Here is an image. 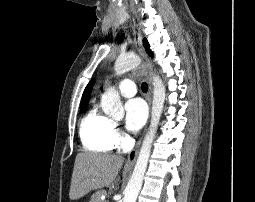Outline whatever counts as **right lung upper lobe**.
Returning a JSON list of instances; mask_svg holds the SVG:
<instances>
[{
	"instance_id": "1",
	"label": "right lung upper lobe",
	"mask_w": 255,
	"mask_h": 202,
	"mask_svg": "<svg viewBox=\"0 0 255 202\" xmlns=\"http://www.w3.org/2000/svg\"><path fill=\"white\" fill-rule=\"evenodd\" d=\"M93 84H94V80H92V81L87 85V87L85 88L84 93H83V95H82L81 105H83V104H86V105H87L88 100H89L90 90H91Z\"/></svg>"
}]
</instances>
